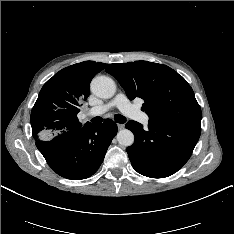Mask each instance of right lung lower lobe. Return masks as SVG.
<instances>
[{"label": "right lung lower lobe", "mask_w": 234, "mask_h": 234, "mask_svg": "<svg viewBox=\"0 0 234 234\" xmlns=\"http://www.w3.org/2000/svg\"><path fill=\"white\" fill-rule=\"evenodd\" d=\"M117 133L110 119L95 125L36 140V146L49 166L60 176L80 180L93 175L100 167L106 151Z\"/></svg>", "instance_id": "right-lung-lower-lobe-1"}]
</instances>
